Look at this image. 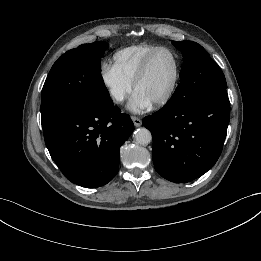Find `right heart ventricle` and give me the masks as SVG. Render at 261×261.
<instances>
[{
    "mask_svg": "<svg viewBox=\"0 0 261 261\" xmlns=\"http://www.w3.org/2000/svg\"><path fill=\"white\" fill-rule=\"evenodd\" d=\"M159 46L138 44L119 49L113 54L112 67L133 83L145 58Z\"/></svg>",
    "mask_w": 261,
    "mask_h": 261,
    "instance_id": "right-heart-ventricle-1",
    "label": "right heart ventricle"
}]
</instances>
